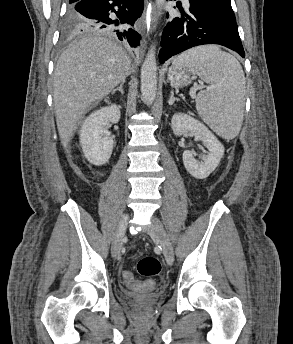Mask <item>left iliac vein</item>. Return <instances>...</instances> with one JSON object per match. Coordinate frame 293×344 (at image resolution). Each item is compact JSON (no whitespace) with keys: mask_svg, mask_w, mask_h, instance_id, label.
Listing matches in <instances>:
<instances>
[{"mask_svg":"<svg viewBox=\"0 0 293 344\" xmlns=\"http://www.w3.org/2000/svg\"><path fill=\"white\" fill-rule=\"evenodd\" d=\"M148 234L159 241L162 246L164 257L169 265L174 262V251L168 234L161 221L157 217H152L151 225L147 230Z\"/></svg>","mask_w":293,"mask_h":344,"instance_id":"1","label":"left iliac vein"}]
</instances>
